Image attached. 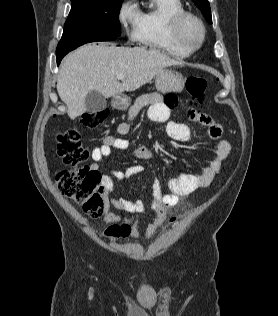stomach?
Returning a JSON list of instances; mask_svg holds the SVG:
<instances>
[{
  "label": "stomach",
  "mask_w": 278,
  "mask_h": 316,
  "mask_svg": "<svg viewBox=\"0 0 278 316\" xmlns=\"http://www.w3.org/2000/svg\"><path fill=\"white\" fill-rule=\"evenodd\" d=\"M157 91L161 93L180 92L184 87L183 76L169 69H162L155 79ZM131 103V99L123 94L113 96L111 104L117 110H126Z\"/></svg>",
  "instance_id": "obj_1"
}]
</instances>
